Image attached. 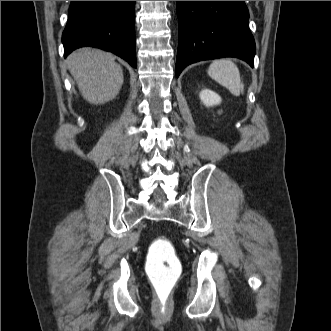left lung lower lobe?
I'll use <instances>...</instances> for the list:
<instances>
[{"label":"left lung lower lobe","mask_w":331,"mask_h":331,"mask_svg":"<svg viewBox=\"0 0 331 331\" xmlns=\"http://www.w3.org/2000/svg\"><path fill=\"white\" fill-rule=\"evenodd\" d=\"M179 42L175 73L194 62L237 57L254 65L255 41L244 1H176Z\"/></svg>","instance_id":"left-lung-lower-lobe-1"}]
</instances>
